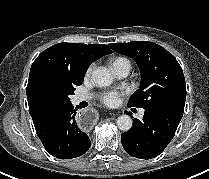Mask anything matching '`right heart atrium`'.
<instances>
[{"label": "right heart atrium", "instance_id": "right-heart-atrium-1", "mask_svg": "<svg viewBox=\"0 0 209 179\" xmlns=\"http://www.w3.org/2000/svg\"><path fill=\"white\" fill-rule=\"evenodd\" d=\"M92 69H93V65H90L86 71V76H89L90 73L92 72Z\"/></svg>", "mask_w": 209, "mask_h": 179}]
</instances>
